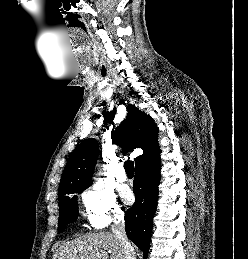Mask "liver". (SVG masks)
<instances>
[{
    "instance_id": "liver-1",
    "label": "liver",
    "mask_w": 248,
    "mask_h": 259,
    "mask_svg": "<svg viewBox=\"0 0 248 259\" xmlns=\"http://www.w3.org/2000/svg\"><path fill=\"white\" fill-rule=\"evenodd\" d=\"M125 259L123 246L113 233H89L61 245L53 259Z\"/></svg>"
}]
</instances>
